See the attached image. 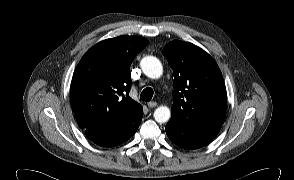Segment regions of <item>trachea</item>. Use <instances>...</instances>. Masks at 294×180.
I'll list each match as a JSON object with an SVG mask.
<instances>
[{
	"mask_svg": "<svg viewBox=\"0 0 294 180\" xmlns=\"http://www.w3.org/2000/svg\"><path fill=\"white\" fill-rule=\"evenodd\" d=\"M153 94H154L153 89L150 87H147L142 91L140 95V99L143 101L149 102L151 101Z\"/></svg>",
	"mask_w": 294,
	"mask_h": 180,
	"instance_id": "3493384b",
	"label": "trachea"
}]
</instances>
